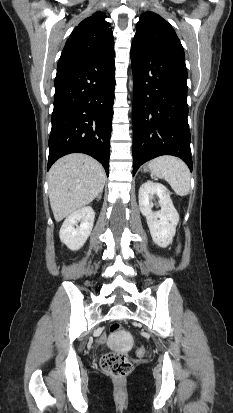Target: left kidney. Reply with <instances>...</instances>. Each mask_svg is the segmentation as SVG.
<instances>
[{
  "mask_svg": "<svg viewBox=\"0 0 233 413\" xmlns=\"http://www.w3.org/2000/svg\"><path fill=\"white\" fill-rule=\"evenodd\" d=\"M154 195L159 198L161 209L152 211L151 200ZM139 207L146 217L153 241L162 248L169 246L176 233L179 214L170 198L169 191L159 183L145 182L139 189Z\"/></svg>",
  "mask_w": 233,
  "mask_h": 413,
  "instance_id": "left-kidney-1",
  "label": "left kidney"
}]
</instances>
